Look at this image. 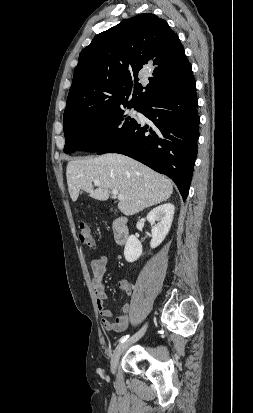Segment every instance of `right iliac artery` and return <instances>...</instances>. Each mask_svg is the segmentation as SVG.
<instances>
[{"mask_svg":"<svg viewBox=\"0 0 253 413\" xmlns=\"http://www.w3.org/2000/svg\"><path fill=\"white\" fill-rule=\"evenodd\" d=\"M128 338H129V335H125V336H123V337H121V338L119 339V342H120V343H123V342H125Z\"/></svg>","mask_w":253,"mask_h":413,"instance_id":"right-iliac-artery-1","label":"right iliac artery"}]
</instances>
